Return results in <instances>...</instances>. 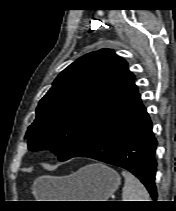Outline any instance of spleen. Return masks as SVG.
<instances>
[{"instance_id":"obj_1","label":"spleen","mask_w":176,"mask_h":211,"mask_svg":"<svg viewBox=\"0 0 176 211\" xmlns=\"http://www.w3.org/2000/svg\"><path fill=\"white\" fill-rule=\"evenodd\" d=\"M125 178L122 201H150V196L144 185L130 172L123 170Z\"/></svg>"}]
</instances>
